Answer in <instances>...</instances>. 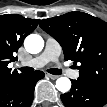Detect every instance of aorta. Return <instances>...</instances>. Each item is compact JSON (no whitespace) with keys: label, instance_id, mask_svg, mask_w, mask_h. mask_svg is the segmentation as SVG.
<instances>
[{"label":"aorta","instance_id":"1","mask_svg":"<svg viewBox=\"0 0 107 107\" xmlns=\"http://www.w3.org/2000/svg\"><path fill=\"white\" fill-rule=\"evenodd\" d=\"M25 49L31 54L39 53L44 46V41L41 36L31 34L25 39ZM56 88L65 93L71 88V81L67 77H60L56 80Z\"/></svg>","mask_w":107,"mask_h":107}]
</instances>
